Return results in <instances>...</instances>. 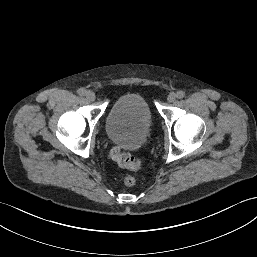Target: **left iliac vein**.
Returning <instances> with one entry per match:
<instances>
[{
	"label": "left iliac vein",
	"mask_w": 257,
	"mask_h": 257,
	"mask_svg": "<svg viewBox=\"0 0 257 257\" xmlns=\"http://www.w3.org/2000/svg\"><path fill=\"white\" fill-rule=\"evenodd\" d=\"M176 97H177V95H176L174 92H171V93L168 95L167 100H168L169 102H174L175 99H176Z\"/></svg>",
	"instance_id": "obj_1"
}]
</instances>
